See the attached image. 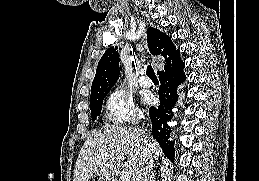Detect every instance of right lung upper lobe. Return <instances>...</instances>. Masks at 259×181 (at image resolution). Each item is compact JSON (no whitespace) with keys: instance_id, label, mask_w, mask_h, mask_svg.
<instances>
[{"instance_id":"cb5924a9","label":"right lung upper lobe","mask_w":259,"mask_h":181,"mask_svg":"<svg viewBox=\"0 0 259 181\" xmlns=\"http://www.w3.org/2000/svg\"><path fill=\"white\" fill-rule=\"evenodd\" d=\"M147 41L150 52L153 55H162L165 63L179 52L169 36L160 30L149 27ZM119 60L117 47H110L101 57L92 83L91 98L107 93L119 78Z\"/></svg>"}]
</instances>
